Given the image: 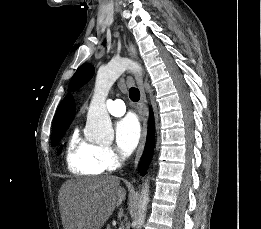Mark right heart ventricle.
<instances>
[{"label": "right heart ventricle", "instance_id": "e07e8e85", "mask_svg": "<svg viewBox=\"0 0 261 229\" xmlns=\"http://www.w3.org/2000/svg\"><path fill=\"white\" fill-rule=\"evenodd\" d=\"M98 144L85 140L75 132L67 143L66 162L69 170L79 175H96L101 172L97 164Z\"/></svg>", "mask_w": 261, "mask_h": 229}]
</instances>
